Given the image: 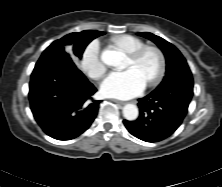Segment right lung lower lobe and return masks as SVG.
I'll list each match as a JSON object with an SVG mask.
<instances>
[{"mask_svg": "<svg viewBox=\"0 0 222 187\" xmlns=\"http://www.w3.org/2000/svg\"><path fill=\"white\" fill-rule=\"evenodd\" d=\"M96 91L70 56L45 50L31 75L30 108L47 135L71 140L94 121L101 102L92 100Z\"/></svg>", "mask_w": 222, "mask_h": 187, "instance_id": "obj_1", "label": "right lung lower lobe"}]
</instances>
